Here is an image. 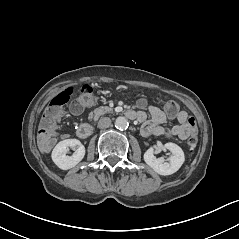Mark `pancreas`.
<instances>
[{
    "label": "pancreas",
    "mask_w": 239,
    "mask_h": 239,
    "mask_svg": "<svg viewBox=\"0 0 239 239\" xmlns=\"http://www.w3.org/2000/svg\"><path fill=\"white\" fill-rule=\"evenodd\" d=\"M112 112V109L110 107L106 106H100L98 108H95L88 114L89 119H94V121H97L100 116L106 115Z\"/></svg>",
    "instance_id": "cf45deb5"
}]
</instances>
